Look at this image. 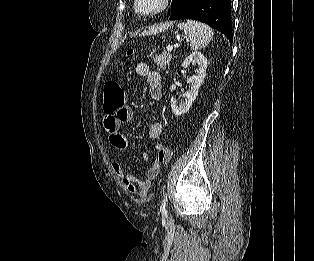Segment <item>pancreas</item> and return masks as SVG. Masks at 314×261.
Instances as JSON below:
<instances>
[{
  "label": "pancreas",
  "instance_id": "1",
  "mask_svg": "<svg viewBox=\"0 0 314 261\" xmlns=\"http://www.w3.org/2000/svg\"><path fill=\"white\" fill-rule=\"evenodd\" d=\"M172 55L168 53L156 54L153 57L154 63L159 66L162 70H165L166 67L170 64Z\"/></svg>",
  "mask_w": 314,
  "mask_h": 261
}]
</instances>
